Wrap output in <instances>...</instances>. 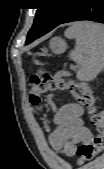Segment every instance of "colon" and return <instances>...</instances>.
Instances as JSON below:
<instances>
[{
	"instance_id": "1",
	"label": "colon",
	"mask_w": 104,
	"mask_h": 169,
	"mask_svg": "<svg viewBox=\"0 0 104 169\" xmlns=\"http://www.w3.org/2000/svg\"><path fill=\"white\" fill-rule=\"evenodd\" d=\"M29 101L38 107L42 96L55 91L69 90L76 101L85 106L90 114L91 122L98 134L89 142L81 144L77 149L78 163L82 164L93 160L104 148V120L98 111L94 96L89 87L82 82L65 81L62 75H52L49 72L34 74L30 78Z\"/></svg>"
}]
</instances>
